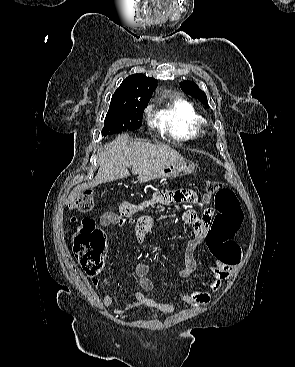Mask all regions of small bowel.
<instances>
[{
    "mask_svg": "<svg viewBox=\"0 0 295 367\" xmlns=\"http://www.w3.org/2000/svg\"><path fill=\"white\" fill-rule=\"evenodd\" d=\"M196 195L190 190H175L163 191L156 194L151 200L139 203L125 202L122 203L117 212H106L100 217L102 227L122 226L126 223L134 224V236L138 243H142L148 231L156 225V220L151 216H142L135 218V213L142 207L150 205L154 202L163 203H182L195 202ZM199 210L197 208H180L177 214L178 218L191 231V237L187 241V246L184 252V263L179 270L181 278H187L194 273L198 266L196 259V251L207 236L211 227L214 212L211 209L206 210L202 216H197ZM213 254V262L208 266V270L212 275V279L203 283V286L209 288L212 292L217 293L221 290L236 269V264H230L223 261L215 251L210 248ZM150 265L148 262H140L135 267V275L139 286L144 291H152L154 282L148 276ZM92 283L95 287L100 285V280L97 277L92 278ZM135 300L128 302L124 306L117 307L114 314L119 316L126 311L131 310L139 305H147L160 309L163 312L171 313L175 310L172 303H159L151 298H147L141 291H135ZM211 294L203 291H191L188 293L178 294L171 298L172 302H182L186 305L194 303L206 304L210 302ZM102 303L105 307H109L113 303V298L110 294L104 295Z\"/></svg>",
    "mask_w": 295,
    "mask_h": 367,
    "instance_id": "small-bowel-1",
    "label": "small bowel"
}]
</instances>
